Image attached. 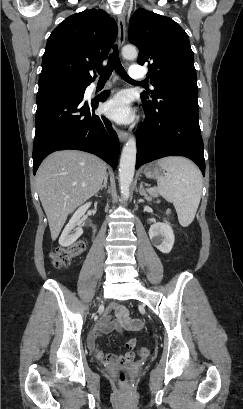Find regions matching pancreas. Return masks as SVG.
<instances>
[{
  "instance_id": "obj_1",
  "label": "pancreas",
  "mask_w": 243,
  "mask_h": 409,
  "mask_svg": "<svg viewBox=\"0 0 243 409\" xmlns=\"http://www.w3.org/2000/svg\"><path fill=\"white\" fill-rule=\"evenodd\" d=\"M150 195H151L150 198H152V197H157V196H158V194H157L156 191H151V192H150Z\"/></svg>"
}]
</instances>
